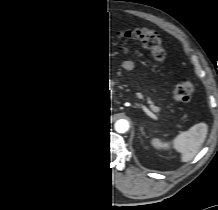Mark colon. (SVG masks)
<instances>
[{
    "instance_id": "obj_1",
    "label": "colon",
    "mask_w": 218,
    "mask_h": 210,
    "mask_svg": "<svg viewBox=\"0 0 218 210\" xmlns=\"http://www.w3.org/2000/svg\"><path fill=\"white\" fill-rule=\"evenodd\" d=\"M117 36L125 40L137 41L147 50L155 61H163L166 55L160 35L149 29H134L118 32ZM81 40L70 32L57 50L51 72L42 80L26 87L19 94L20 107L35 113L45 109L51 103H65V88L71 80V69L77 62ZM194 86L189 81L177 84L173 90L175 100L188 103L192 100Z\"/></svg>"
}]
</instances>
